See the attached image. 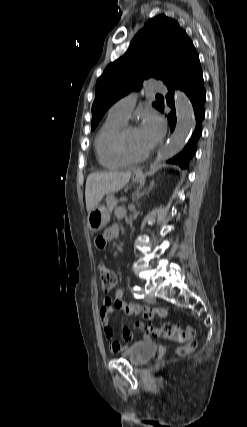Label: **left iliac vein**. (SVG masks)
Listing matches in <instances>:
<instances>
[{
	"label": "left iliac vein",
	"instance_id": "4c4485c4",
	"mask_svg": "<svg viewBox=\"0 0 247 427\" xmlns=\"http://www.w3.org/2000/svg\"><path fill=\"white\" fill-rule=\"evenodd\" d=\"M145 300L149 303L154 302L155 301V297L152 294H146L145 295Z\"/></svg>",
	"mask_w": 247,
	"mask_h": 427
}]
</instances>
